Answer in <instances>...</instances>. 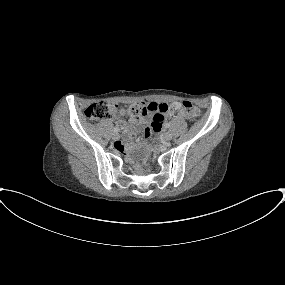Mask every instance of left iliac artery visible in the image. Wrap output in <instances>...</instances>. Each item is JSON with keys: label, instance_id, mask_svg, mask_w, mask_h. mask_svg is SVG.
<instances>
[{"label": "left iliac artery", "instance_id": "left-iliac-artery-1", "mask_svg": "<svg viewBox=\"0 0 285 285\" xmlns=\"http://www.w3.org/2000/svg\"><path fill=\"white\" fill-rule=\"evenodd\" d=\"M165 127H166V128H169V127H170V124H169V123H166V124H165Z\"/></svg>", "mask_w": 285, "mask_h": 285}]
</instances>
